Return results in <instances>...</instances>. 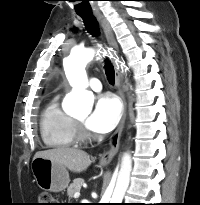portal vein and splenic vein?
I'll return each instance as SVG.
<instances>
[{
    "label": "portal vein and splenic vein",
    "mask_w": 200,
    "mask_h": 205,
    "mask_svg": "<svg viewBox=\"0 0 200 205\" xmlns=\"http://www.w3.org/2000/svg\"><path fill=\"white\" fill-rule=\"evenodd\" d=\"M80 196V193L79 192H76L75 194H74V198H78Z\"/></svg>",
    "instance_id": "18ae733b"
}]
</instances>
